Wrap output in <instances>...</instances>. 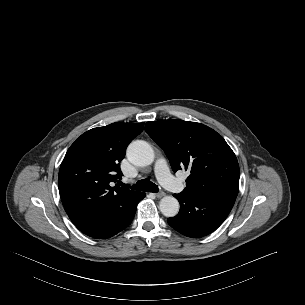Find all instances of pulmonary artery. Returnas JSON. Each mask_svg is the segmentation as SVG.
<instances>
[{
  "label": "pulmonary artery",
  "mask_w": 305,
  "mask_h": 305,
  "mask_svg": "<svg viewBox=\"0 0 305 305\" xmlns=\"http://www.w3.org/2000/svg\"><path fill=\"white\" fill-rule=\"evenodd\" d=\"M154 172L157 179L164 187L171 190H181L183 188V184L171 175L164 158H160L156 161Z\"/></svg>",
  "instance_id": "obj_1"
}]
</instances>
